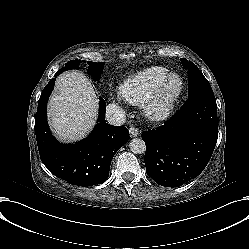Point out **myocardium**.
<instances>
[{
	"instance_id": "myocardium-1",
	"label": "myocardium",
	"mask_w": 249,
	"mask_h": 249,
	"mask_svg": "<svg viewBox=\"0 0 249 249\" xmlns=\"http://www.w3.org/2000/svg\"><path fill=\"white\" fill-rule=\"evenodd\" d=\"M173 85H170L171 81ZM183 89V81L176 73L168 74L155 93L142 105V114L147 121L160 122L168 118Z\"/></svg>"
}]
</instances>
